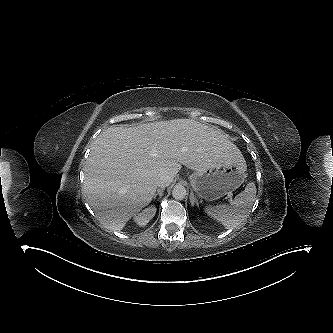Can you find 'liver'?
<instances>
[{"instance_id": "6515ba94", "label": "liver", "mask_w": 333, "mask_h": 333, "mask_svg": "<svg viewBox=\"0 0 333 333\" xmlns=\"http://www.w3.org/2000/svg\"><path fill=\"white\" fill-rule=\"evenodd\" d=\"M241 157L221 130L191 119L110 126L91 147L83 192L98 220L120 231L151 202L159 175L174 178L181 165L204 171Z\"/></svg>"}]
</instances>
